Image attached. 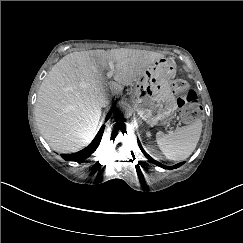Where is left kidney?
I'll return each mask as SVG.
<instances>
[{
	"label": "left kidney",
	"instance_id": "1",
	"mask_svg": "<svg viewBox=\"0 0 243 243\" xmlns=\"http://www.w3.org/2000/svg\"><path fill=\"white\" fill-rule=\"evenodd\" d=\"M147 137L151 136V133L149 131L146 132Z\"/></svg>",
	"mask_w": 243,
	"mask_h": 243
}]
</instances>
